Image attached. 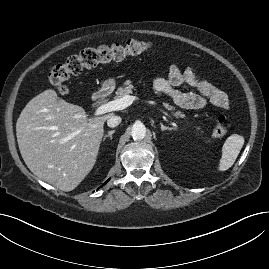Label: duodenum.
Here are the masks:
<instances>
[{"mask_svg":"<svg viewBox=\"0 0 269 269\" xmlns=\"http://www.w3.org/2000/svg\"><path fill=\"white\" fill-rule=\"evenodd\" d=\"M110 94V88L107 86L101 87L92 97V100L96 104L103 103Z\"/></svg>","mask_w":269,"mask_h":269,"instance_id":"1","label":"duodenum"}]
</instances>
